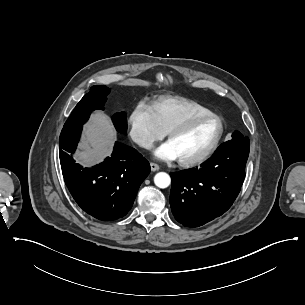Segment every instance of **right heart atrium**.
Wrapping results in <instances>:
<instances>
[{
  "label": "right heart atrium",
  "instance_id": "d8ad5b80",
  "mask_svg": "<svg viewBox=\"0 0 305 305\" xmlns=\"http://www.w3.org/2000/svg\"><path fill=\"white\" fill-rule=\"evenodd\" d=\"M129 135L139 147L149 150L165 135L152 105L138 103L127 119Z\"/></svg>",
  "mask_w": 305,
  "mask_h": 305
}]
</instances>
